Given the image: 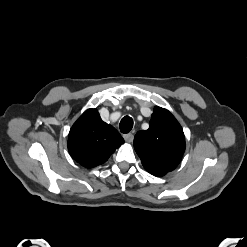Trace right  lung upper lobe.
Listing matches in <instances>:
<instances>
[{"mask_svg":"<svg viewBox=\"0 0 247 247\" xmlns=\"http://www.w3.org/2000/svg\"><path fill=\"white\" fill-rule=\"evenodd\" d=\"M124 139L100 118L96 109H88L72 126L68 137L71 157L86 168L103 164Z\"/></svg>","mask_w":247,"mask_h":247,"instance_id":"cb5924a9","label":"right lung upper lobe"}]
</instances>
